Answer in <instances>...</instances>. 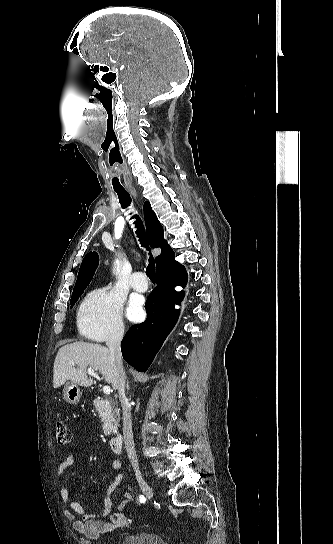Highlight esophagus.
I'll return each instance as SVG.
<instances>
[{"label":"esophagus","instance_id":"obj_1","mask_svg":"<svg viewBox=\"0 0 333 544\" xmlns=\"http://www.w3.org/2000/svg\"><path fill=\"white\" fill-rule=\"evenodd\" d=\"M131 193H132L135 197L137 196L136 190L132 189V190H131Z\"/></svg>","mask_w":333,"mask_h":544}]
</instances>
